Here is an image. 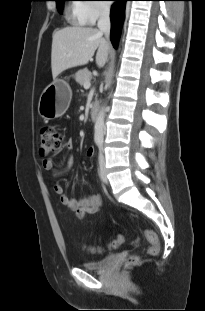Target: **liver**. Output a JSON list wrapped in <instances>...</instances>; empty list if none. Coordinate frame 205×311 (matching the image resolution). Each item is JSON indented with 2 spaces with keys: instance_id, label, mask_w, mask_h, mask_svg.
Wrapping results in <instances>:
<instances>
[{
  "instance_id": "1",
  "label": "liver",
  "mask_w": 205,
  "mask_h": 311,
  "mask_svg": "<svg viewBox=\"0 0 205 311\" xmlns=\"http://www.w3.org/2000/svg\"><path fill=\"white\" fill-rule=\"evenodd\" d=\"M52 38L51 68L54 79L66 69L86 65L97 49L98 67H103L107 61L110 44L96 28L65 27L55 31Z\"/></svg>"
}]
</instances>
